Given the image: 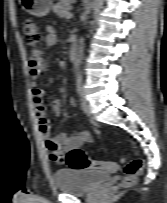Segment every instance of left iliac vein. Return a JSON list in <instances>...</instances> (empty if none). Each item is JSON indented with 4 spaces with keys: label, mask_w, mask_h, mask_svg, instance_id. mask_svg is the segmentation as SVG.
<instances>
[{
    "label": "left iliac vein",
    "mask_w": 167,
    "mask_h": 203,
    "mask_svg": "<svg viewBox=\"0 0 167 203\" xmlns=\"http://www.w3.org/2000/svg\"><path fill=\"white\" fill-rule=\"evenodd\" d=\"M82 107L85 112H87V113L91 112V105H90L89 101L85 98H82Z\"/></svg>",
    "instance_id": "4c4485c4"
}]
</instances>
